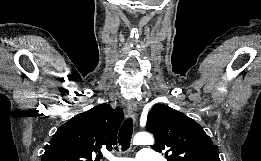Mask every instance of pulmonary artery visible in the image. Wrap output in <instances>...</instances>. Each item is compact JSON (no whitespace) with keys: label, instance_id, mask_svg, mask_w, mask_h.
Masks as SVG:
<instances>
[{"label":"pulmonary artery","instance_id":"1","mask_svg":"<svg viewBox=\"0 0 261 161\" xmlns=\"http://www.w3.org/2000/svg\"><path fill=\"white\" fill-rule=\"evenodd\" d=\"M149 149H141L136 156L135 161H153V159L149 156ZM112 159V161H133L131 159L128 158H118V157H110Z\"/></svg>","mask_w":261,"mask_h":161}]
</instances>
